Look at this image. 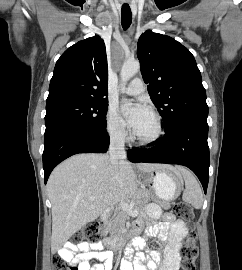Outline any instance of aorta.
<instances>
[{
    "label": "aorta",
    "instance_id": "aorta-1",
    "mask_svg": "<svg viewBox=\"0 0 242 270\" xmlns=\"http://www.w3.org/2000/svg\"><path fill=\"white\" fill-rule=\"evenodd\" d=\"M140 69L139 61H127L123 64L120 79L121 86L124 87L129 79H131Z\"/></svg>",
    "mask_w": 242,
    "mask_h": 270
}]
</instances>
